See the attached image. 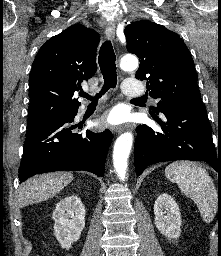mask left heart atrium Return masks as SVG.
I'll list each match as a JSON object with an SVG mask.
<instances>
[{
    "label": "left heart atrium",
    "instance_id": "1",
    "mask_svg": "<svg viewBox=\"0 0 221 256\" xmlns=\"http://www.w3.org/2000/svg\"><path fill=\"white\" fill-rule=\"evenodd\" d=\"M125 115L120 110L112 111L107 117V123L109 124H118L124 121Z\"/></svg>",
    "mask_w": 221,
    "mask_h": 256
}]
</instances>
